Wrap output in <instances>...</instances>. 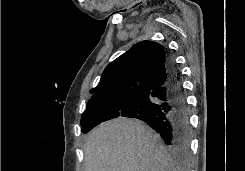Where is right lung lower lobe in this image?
<instances>
[{
	"instance_id": "right-lung-lower-lobe-1",
	"label": "right lung lower lobe",
	"mask_w": 245,
	"mask_h": 171,
	"mask_svg": "<svg viewBox=\"0 0 245 171\" xmlns=\"http://www.w3.org/2000/svg\"><path fill=\"white\" fill-rule=\"evenodd\" d=\"M166 69L168 79L164 85L133 97L104 121L119 116L140 119L158 132L167 145L177 149L178 157L186 158L190 136L188 108L179 72L170 55Z\"/></svg>"
}]
</instances>
